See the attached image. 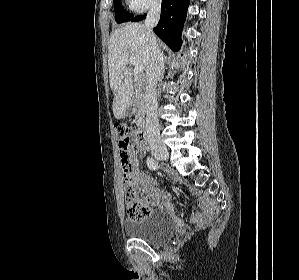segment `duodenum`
I'll return each mask as SVG.
<instances>
[{"label":"duodenum","instance_id":"obj_1","mask_svg":"<svg viewBox=\"0 0 299 280\" xmlns=\"http://www.w3.org/2000/svg\"><path fill=\"white\" fill-rule=\"evenodd\" d=\"M138 137L140 140H146L148 137V129L145 124H141L138 128Z\"/></svg>","mask_w":299,"mask_h":280}]
</instances>
